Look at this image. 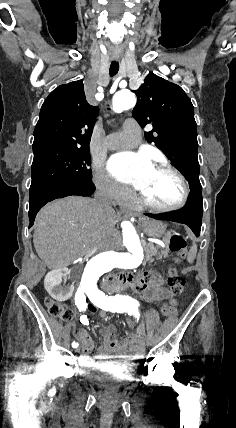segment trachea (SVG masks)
<instances>
[{
	"instance_id": "1",
	"label": "trachea",
	"mask_w": 236,
	"mask_h": 428,
	"mask_svg": "<svg viewBox=\"0 0 236 428\" xmlns=\"http://www.w3.org/2000/svg\"><path fill=\"white\" fill-rule=\"evenodd\" d=\"M113 60L115 61L116 59L114 58ZM118 71H119V63L111 62L110 69H109L110 76L113 77L114 75L117 74Z\"/></svg>"
}]
</instances>
